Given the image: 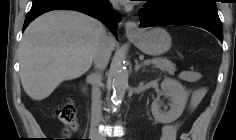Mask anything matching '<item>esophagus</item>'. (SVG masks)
<instances>
[{"instance_id":"34e87169","label":"esophagus","mask_w":236,"mask_h":140,"mask_svg":"<svg viewBox=\"0 0 236 140\" xmlns=\"http://www.w3.org/2000/svg\"><path fill=\"white\" fill-rule=\"evenodd\" d=\"M125 30L127 35H134L138 33L139 27L135 21L129 20L125 24Z\"/></svg>"}]
</instances>
